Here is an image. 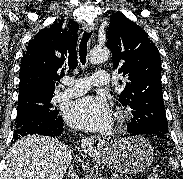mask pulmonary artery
<instances>
[{"mask_svg":"<svg viewBox=\"0 0 183 179\" xmlns=\"http://www.w3.org/2000/svg\"><path fill=\"white\" fill-rule=\"evenodd\" d=\"M67 89L59 93L61 99H69L86 93L92 86H104L109 83V74L104 70L95 72L91 77L68 79Z\"/></svg>","mask_w":183,"mask_h":179,"instance_id":"1","label":"pulmonary artery"}]
</instances>
